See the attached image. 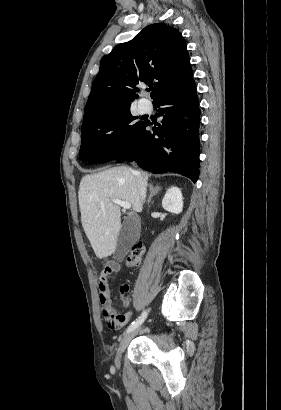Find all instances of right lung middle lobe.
Listing matches in <instances>:
<instances>
[{
  "label": "right lung middle lobe",
  "instance_id": "right-lung-middle-lobe-1",
  "mask_svg": "<svg viewBox=\"0 0 281 410\" xmlns=\"http://www.w3.org/2000/svg\"><path fill=\"white\" fill-rule=\"evenodd\" d=\"M130 107L118 109L82 124L80 159L104 163L123 153L141 131L146 121L136 122Z\"/></svg>",
  "mask_w": 281,
  "mask_h": 410
}]
</instances>
